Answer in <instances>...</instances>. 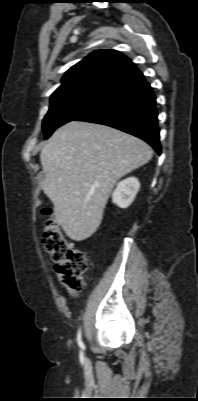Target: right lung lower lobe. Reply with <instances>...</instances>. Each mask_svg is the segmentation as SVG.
<instances>
[{"instance_id":"obj_1","label":"right lung lower lobe","mask_w":198,"mask_h":401,"mask_svg":"<svg viewBox=\"0 0 198 401\" xmlns=\"http://www.w3.org/2000/svg\"><path fill=\"white\" fill-rule=\"evenodd\" d=\"M155 95L138 70L108 90L102 101L76 119L103 124L141 138L161 154Z\"/></svg>"}]
</instances>
